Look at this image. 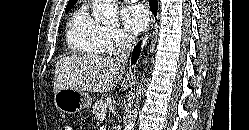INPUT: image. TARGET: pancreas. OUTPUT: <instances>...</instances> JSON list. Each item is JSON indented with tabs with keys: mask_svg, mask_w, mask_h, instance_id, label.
<instances>
[{
	"mask_svg": "<svg viewBox=\"0 0 249 130\" xmlns=\"http://www.w3.org/2000/svg\"><path fill=\"white\" fill-rule=\"evenodd\" d=\"M92 113L98 117V115L102 112H106L107 111V103L103 100H99L97 101L93 106H92Z\"/></svg>",
	"mask_w": 249,
	"mask_h": 130,
	"instance_id": "cf45deb5",
	"label": "pancreas"
}]
</instances>
